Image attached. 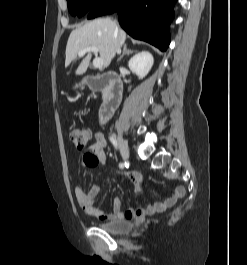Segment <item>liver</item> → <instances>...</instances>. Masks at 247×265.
I'll use <instances>...</instances> for the list:
<instances>
[{
  "instance_id": "liver-1",
  "label": "liver",
  "mask_w": 247,
  "mask_h": 265,
  "mask_svg": "<svg viewBox=\"0 0 247 265\" xmlns=\"http://www.w3.org/2000/svg\"><path fill=\"white\" fill-rule=\"evenodd\" d=\"M125 40V32L119 30L116 23L109 18H98L88 22L71 32L66 46L65 66L67 67L77 58L79 51L89 46H96L99 48L103 65L107 68L116 53H120V47ZM88 53L77 68V75L86 72L91 59V54Z\"/></svg>"
}]
</instances>
